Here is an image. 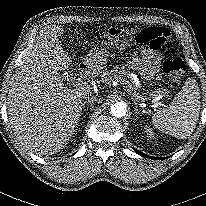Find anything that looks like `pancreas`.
I'll use <instances>...</instances> for the list:
<instances>
[{
  "label": "pancreas",
  "instance_id": "cf45deb5",
  "mask_svg": "<svg viewBox=\"0 0 206 206\" xmlns=\"http://www.w3.org/2000/svg\"><path fill=\"white\" fill-rule=\"evenodd\" d=\"M129 64H131V62ZM126 76H128V71L124 67H118V66H115L111 70L105 69L101 72V78L105 82H109L113 80L122 82Z\"/></svg>",
  "mask_w": 206,
  "mask_h": 206
}]
</instances>
